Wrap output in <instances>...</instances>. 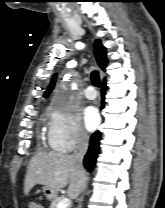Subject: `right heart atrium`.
Returning <instances> with one entry per match:
<instances>
[{
	"instance_id": "obj_1",
	"label": "right heart atrium",
	"mask_w": 165,
	"mask_h": 208,
	"mask_svg": "<svg viewBox=\"0 0 165 208\" xmlns=\"http://www.w3.org/2000/svg\"><path fill=\"white\" fill-rule=\"evenodd\" d=\"M47 140L54 151L69 153L85 145L88 141V135L75 113L54 105L49 110Z\"/></svg>"
}]
</instances>
